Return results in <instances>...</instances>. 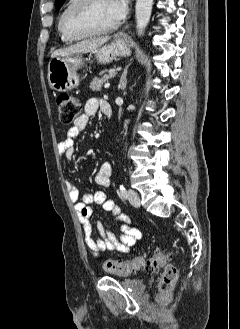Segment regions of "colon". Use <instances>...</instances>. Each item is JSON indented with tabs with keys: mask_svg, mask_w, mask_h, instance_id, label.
Returning <instances> with one entry per match:
<instances>
[{
	"mask_svg": "<svg viewBox=\"0 0 240 329\" xmlns=\"http://www.w3.org/2000/svg\"><path fill=\"white\" fill-rule=\"evenodd\" d=\"M58 118L62 124L69 125L82 113L81 101L69 94H61L56 98ZM171 254L158 251L150 255L139 256L130 261L105 260L102 263L104 270L118 275H129L140 269L155 272L164 268L158 287V301L167 304L172 300V292L178 279V269L167 265Z\"/></svg>",
	"mask_w": 240,
	"mask_h": 329,
	"instance_id": "colon-1",
	"label": "colon"
}]
</instances>
